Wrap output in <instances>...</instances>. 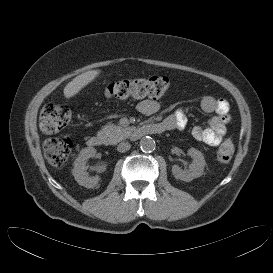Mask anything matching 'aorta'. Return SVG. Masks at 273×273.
Instances as JSON below:
<instances>
[{
  "mask_svg": "<svg viewBox=\"0 0 273 273\" xmlns=\"http://www.w3.org/2000/svg\"><path fill=\"white\" fill-rule=\"evenodd\" d=\"M139 146L143 152H152L155 150L156 143L152 137L144 136L141 138Z\"/></svg>",
  "mask_w": 273,
  "mask_h": 273,
  "instance_id": "obj_1",
  "label": "aorta"
}]
</instances>
